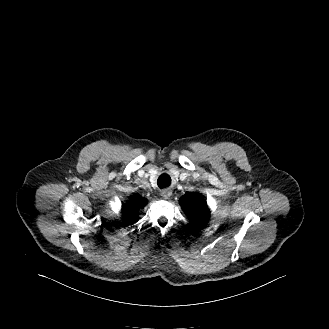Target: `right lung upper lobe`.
Masks as SVG:
<instances>
[{
    "label": "right lung upper lobe",
    "instance_id": "obj_1",
    "mask_svg": "<svg viewBox=\"0 0 329 329\" xmlns=\"http://www.w3.org/2000/svg\"><path fill=\"white\" fill-rule=\"evenodd\" d=\"M147 204V200L139 195H133L126 204H122V213L126 225H131L138 221V211Z\"/></svg>",
    "mask_w": 329,
    "mask_h": 329
}]
</instances>
